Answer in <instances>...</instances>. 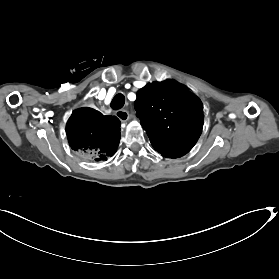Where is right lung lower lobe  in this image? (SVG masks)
I'll return each mask as SVG.
<instances>
[{
  "instance_id": "obj_1",
  "label": "right lung lower lobe",
  "mask_w": 279,
  "mask_h": 279,
  "mask_svg": "<svg viewBox=\"0 0 279 279\" xmlns=\"http://www.w3.org/2000/svg\"><path fill=\"white\" fill-rule=\"evenodd\" d=\"M120 120L103 116L92 108L75 110L66 126L71 149L86 161H105L115 154L120 134Z\"/></svg>"
}]
</instances>
